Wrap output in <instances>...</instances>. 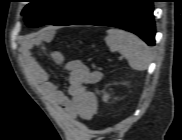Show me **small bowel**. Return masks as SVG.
Wrapping results in <instances>:
<instances>
[{"label":"small bowel","instance_id":"c3829d8e","mask_svg":"<svg viewBox=\"0 0 182 140\" xmlns=\"http://www.w3.org/2000/svg\"><path fill=\"white\" fill-rule=\"evenodd\" d=\"M43 36L45 40H49L52 33L45 31ZM51 58L56 64H64L69 71L67 93L49 81L42 66L34 58L28 57L26 65L31 79L51 104L64 111L67 116L72 119L90 120L98 109V98L94 92L87 89V85L98 83L103 74L91 70L79 59L65 63L63 54L58 51L52 52Z\"/></svg>","mask_w":182,"mask_h":140}]
</instances>
